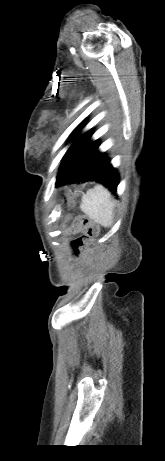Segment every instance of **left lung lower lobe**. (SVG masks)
I'll return each instance as SVG.
<instances>
[{
	"label": "left lung lower lobe",
	"mask_w": 165,
	"mask_h": 461,
	"mask_svg": "<svg viewBox=\"0 0 165 461\" xmlns=\"http://www.w3.org/2000/svg\"><path fill=\"white\" fill-rule=\"evenodd\" d=\"M92 132H87L66 154L62 162L56 186L68 183L97 181L113 193L119 183V175L109 158L98 152V142H90Z\"/></svg>",
	"instance_id": "obj_1"
}]
</instances>
